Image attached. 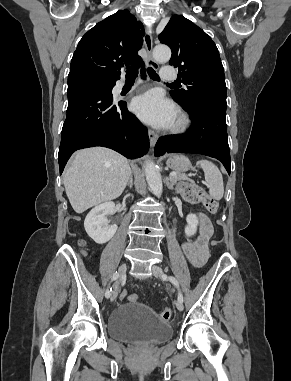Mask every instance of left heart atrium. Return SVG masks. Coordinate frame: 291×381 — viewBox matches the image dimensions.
<instances>
[{"mask_svg":"<svg viewBox=\"0 0 291 381\" xmlns=\"http://www.w3.org/2000/svg\"><path fill=\"white\" fill-rule=\"evenodd\" d=\"M132 109L141 120L155 127H169L177 116L174 105L157 90L135 97L132 101Z\"/></svg>","mask_w":291,"mask_h":381,"instance_id":"obj_1","label":"left heart atrium"}]
</instances>
